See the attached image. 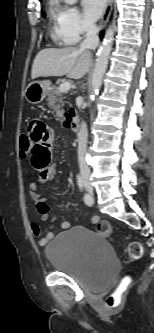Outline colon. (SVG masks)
Segmentation results:
<instances>
[{"mask_svg":"<svg viewBox=\"0 0 154 333\" xmlns=\"http://www.w3.org/2000/svg\"><path fill=\"white\" fill-rule=\"evenodd\" d=\"M31 140L27 134H24L20 138V155L23 159L30 156ZM96 231L102 234L107 239L112 238V228L109 222L101 221L97 224ZM144 254V247L140 242H131L126 250V257L130 260L140 259ZM126 289V284L122 283L119 289L109 295L106 299V303L109 307H117L120 304L121 294Z\"/></svg>","mask_w":154,"mask_h":333,"instance_id":"5ec220e1","label":"colon"}]
</instances>
